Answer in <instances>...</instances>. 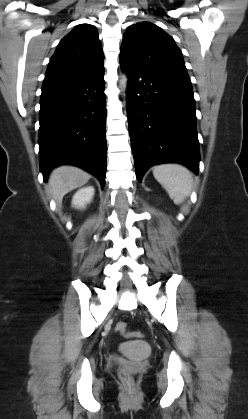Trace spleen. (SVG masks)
<instances>
[{
	"label": "spleen",
	"instance_id": "3e777b00",
	"mask_svg": "<svg viewBox=\"0 0 248 419\" xmlns=\"http://www.w3.org/2000/svg\"><path fill=\"white\" fill-rule=\"evenodd\" d=\"M153 175L177 205L181 204L191 192L192 174L187 168L179 164L155 166Z\"/></svg>",
	"mask_w": 248,
	"mask_h": 419
}]
</instances>
